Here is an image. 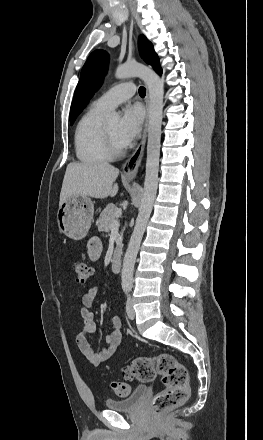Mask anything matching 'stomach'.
Masks as SVG:
<instances>
[{
    "mask_svg": "<svg viewBox=\"0 0 263 440\" xmlns=\"http://www.w3.org/2000/svg\"><path fill=\"white\" fill-rule=\"evenodd\" d=\"M93 215L94 202L89 197L71 196L59 204V229L71 239H83L91 227Z\"/></svg>",
    "mask_w": 263,
    "mask_h": 440,
    "instance_id": "obj_1",
    "label": "stomach"
}]
</instances>
